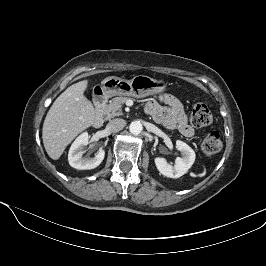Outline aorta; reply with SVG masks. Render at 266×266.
Wrapping results in <instances>:
<instances>
[{"mask_svg":"<svg viewBox=\"0 0 266 266\" xmlns=\"http://www.w3.org/2000/svg\"><path fill=\"white\" fill-rule=\"evenodd\" d=\"M129 130L134 135L140 134L143 130L142 123L139 121H133L129 126Z\"/></svg>","mask_w":266,"mask_h":266,"instance_id":"1","label":"aorta"}]
</instances>
